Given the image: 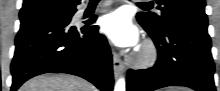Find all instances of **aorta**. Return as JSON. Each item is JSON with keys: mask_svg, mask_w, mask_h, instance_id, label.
I'll list each match as a JSON object with an SVG mask.
<instances>
[{"mask_svg": "<svg viewBox=\"0 0 220 91\" xmlns=\"http://www.w3.org/2000/svg\"><path fill=\"white\" fill-rule=\"evenodd\" d=\"M126 90V85H125V79L120 78L114 87V91H125Z\"/></svg>", "mask_w": 220, "mask_h": 91, "instance_id": "1", "label": "aorta"}]
</instances>
